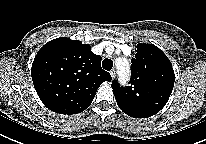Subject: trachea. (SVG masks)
Returning <instances> with one entry per match:
<instances>
[{
    "label": "trachea",
    "instance_id": "trachea-1",
    "mask_svg": "<svg viewBox=\"0 0 206 144\" xmlns=\"http://www.w3.org/2000/svg\"><path fill=\"white\" fill-rule=\"evenodd\" d=\"M103 69L110 71L113 67V61L111 59H104L102 62Z\"/></svg>",
    "mask_w": 206,
    "mask_h": 144
}]
</instances>
